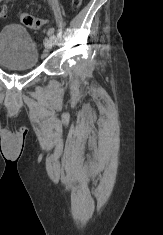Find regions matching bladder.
I'll return each instance as SVG.
<instances>
[{"mask_svg": "<svg viewBox=\"0 0 163 235\" xmlns=\"http://www.w3.org/2000/svg\"><path fill=\"white\" fill-rule=\"evenodd\" d=\"M38 59V46L23 26L10 24L0 30V65L10 69H33Z\"/></svg>", "mask_w": 163, "mask_h": 235, "instance_id": "bladder-1", "label": "bladder"}]
</instances>
